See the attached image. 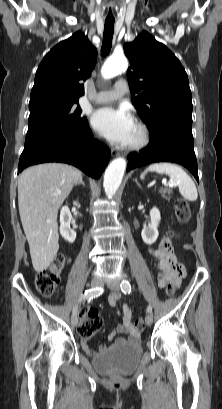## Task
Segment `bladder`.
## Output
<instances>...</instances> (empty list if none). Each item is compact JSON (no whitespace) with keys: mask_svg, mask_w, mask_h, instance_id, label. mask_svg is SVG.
<instances>
[{"mask_svg":"<svg viewBox=\"0 0 222 409\" xmlns=\"http://www.w3.org/2000/svg\"><path fill=\"white\" fill-rule=\"evenodd\" d=\"M143 348L138 343L113 345L92 358L93 368L106 375H127L138 366Z\"/></svg>","mask_w":222,"mask_h":409,"instance_id":"31cf9c89","label":"bladder"}]
</instances>
